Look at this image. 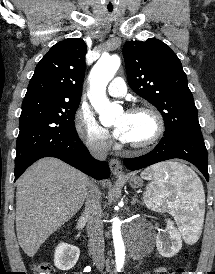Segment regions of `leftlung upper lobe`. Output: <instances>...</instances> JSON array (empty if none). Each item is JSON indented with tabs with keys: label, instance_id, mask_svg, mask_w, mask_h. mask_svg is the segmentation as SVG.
<instances>
[{
	"label": "left lung upper lobe",
	"instance_id": "obj_1",
	"mask_svg": "<svg viewBox=\"0 0 215 274\" xmlns=\"http://www.w3.org/2000/svg\"><path fill=\"white\" fill-rule=\"evenodd\" d=\"M123 54L131 89L162 114L164 136L202 137L197 108L177 55L162 41H128Z\"/></svg>",
	"mask_w": 215,
	"mask_h": 274
}]
</instances>
